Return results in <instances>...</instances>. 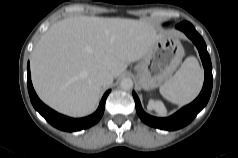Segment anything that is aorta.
I'll use <instances>...</instances> for the list:
<instances>
[{
  "mask_svg": "<svg viewBox=\"0 0 238 158\" xmlns=\"http://www.w3.org/2000/svg\"><path fill=\"white\" fill-rule=\"evenodd\" d=\"M120 87L124 90H130L133 87V81L131 78H123L120 82Z\"/></svg>",
  "mask_w": 238,
  "mask_h": 158,
  "instance_id": "aorta-1",
  "label": "aorta"
}]
</instances>
